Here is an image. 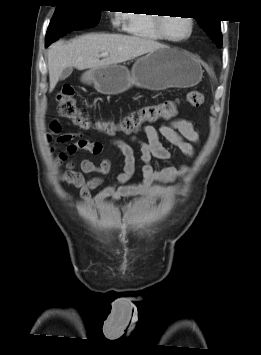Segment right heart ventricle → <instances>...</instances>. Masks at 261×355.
<instances>
[{
  "mask_svg": "<svg viewBox=\"0 0 261 355\" xmlns=\"http://www.w3.org/2000/svg\"><path fill=\"white\" fill-rule=\"evenodd\" d=\"M155 14L145 12H129L126 14L127 24L126 29L129 34L135 37L163 40V37L156 27Z\"/></svg>",
  "mask_w": 261,
  "mask_h": 355,
  "instance_id": "e07e8e85",
  "label": "right heart ventricle"
}]
</instances>
